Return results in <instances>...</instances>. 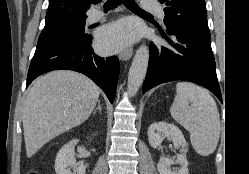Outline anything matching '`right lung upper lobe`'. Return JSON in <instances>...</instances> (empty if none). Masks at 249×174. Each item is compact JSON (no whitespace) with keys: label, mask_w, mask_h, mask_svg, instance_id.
<instances>
[{"label":"right lung upper lobe","mask_w":249,"mask_h":174,"mask_svg":"<svg viewBox=\"0 0 249 174\" xmlns=\"http://www.w3.org/2000/svg\"><path fill=\"white\" fill-rule=\"evenodd\" d=\"M91 0H49L45 27L59 22L85 19Z\"/></svg>","instance_id":"right-lung-upper-lobe-1"}]
</instances>
